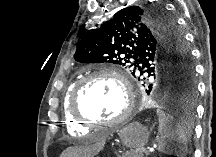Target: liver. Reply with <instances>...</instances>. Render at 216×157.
Instances as JSON below:
<instances>
[{"label": "liver", "mask_w": 216, "mask_h": 157, "mask_svg": "<svg viewBox=\"0 0 216 157\" xmlns=\"http://www.w3.org/2000/svg\"><path fill=\"white\" fill-rule=\"evenodd\" d=\"M104 145L105 137H96L93 144L68 148L61 154V157H93L103 149Z\"/></svg>", "instance_id": "1"}]
</instances>
